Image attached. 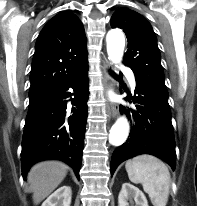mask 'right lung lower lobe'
<instances>
[{
  "label": "right lung lower lobe",
  "instance_id": "1",
  "mask_svg": "<svg viewBox=\"0 0 197 206\" xmlns=\"http://www.w3.org/2000/svg\"><path fill=\"white\" fill-rule=\"evenodd\" d=\"M87 71L88 64L42 98L29 103L21 152L24 178L34 163L59 159L70 165L80 179L89 96ZM71 96L74 98L69 100L73 105L70 111L66 98Z\"/></svg>",
  "mask_w": 197,
  "mask_h": 206
}]
</instances>
